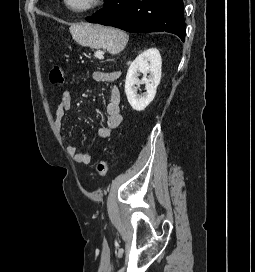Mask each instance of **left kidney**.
Listing matches in <instances>:
<instances>
[{
  "label": "left kidney",
  "mask_w": 255,
  "mask_h": 272,
  "mask_svg": "<svg viewBox=\"0 0 255 272\" xmlns=\"http://www.w3.org/2000/svg\"><path fill=\"white\" fill-rule=\"evenodd\" d=\"M161 67V55L156 48L144 51L131 63L126 75L125 93L134 110L142 111L153 101L161 79ZM139 73L144 75L142 80L138 79ZM140 83L145 84L146 93L143 95L137 94Z\"/></svg>",
  "instance_id": "left-kidney-1"
}]
</instances>
